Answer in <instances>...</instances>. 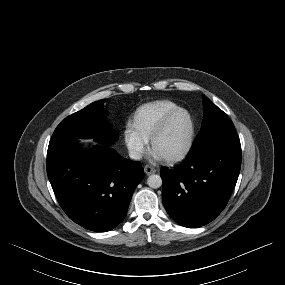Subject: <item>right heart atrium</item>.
Wrapping results in <instances>:
<instances>
[{"mask_svg":"<svg viewBox=\"0 0 285 285\" xmlns=\"http://www.w3.org/2000/svg\"><path fill=\"white\" fill-rule=\"evenodd\" d=\"M123 138L125 145L133 158L139 159L145 154L148 142L136 132L131 124H128L125 127Z\"/></svg>","mask_w":285,"mask_h":285,"instance_id":"d8ad5b80","label":"right heart atrium"}]
</instances>
